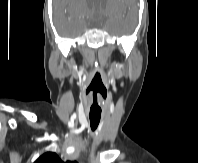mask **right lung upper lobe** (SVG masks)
<instances>
[{"label": "right lung upper lobe", "instance_id": "obj_1", "mask_svg": "<svg viewBox=\"0 0 198 163\" xmlns=\"http://www.w3.org/2000/svg\"><path fill=\"white\" fill-rule=\"evenodd\" d=\"M34 163H69L63 162L54 152H46L41 155Z\"/></svg>", "mask_w": 198, "mask_h": 163}]
</instances>
